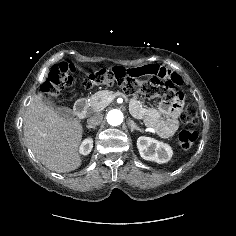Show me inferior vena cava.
I'll list each match as a JSON object with an SVG mask.
<instances>
[{
  "label": "inferior vena cava",
  "instance_id": "obj_1",
  "mask_svg": "<svg viewBox=\"0 0 236 236\" xmlns=\"http://www.w3.org/2000/svg\"><path fill=\"white\" fill-rule=\"evenodd\" d=\"M103 120L102 114H96L89 119H87V123L89 126H98Z\"/></svg>",
  "mask_w": 236,
  "mask_h": 236
}]
</instances>
